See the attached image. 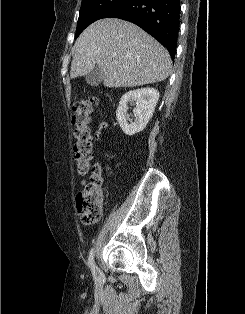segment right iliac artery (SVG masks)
<instances>
[{
    "mask_svg": "<svg viewBox=\"0 0 245 314\" xmlns=\"http://www.w3.org/2000/svg\"><path fill=\"white\" fill-rule=\"evenodd\" d=\"M88 266L92 270L93 275L95 276V262H94V249H91L90 254H89V261H88Z\"/></svg>",
    "mask_w": 245,
    "mask_h": 314,
    "instance_id": "obj_1",
    "label": "right iliac artery"
}]
</instances>
